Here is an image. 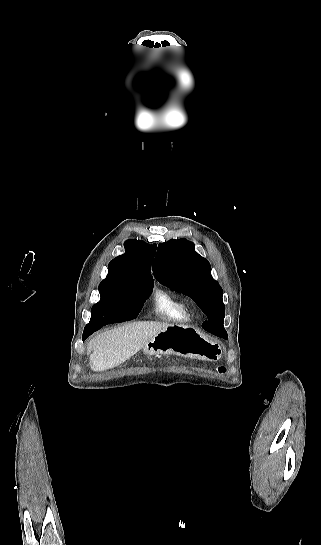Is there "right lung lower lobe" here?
<instances>
[{
    "mask_svg": "<svg viewBox=\"0 0 321 545\" xmlns=\"http://www.w3.org/2000/svg\"><path fill=\"white\" fill-rule=\"evenodd\" d=\"M144 302L138 296L124 295L107 301L96 310L94 322H89L83 332V341L93 332L111 323L131 320L137 317Z\"/></svg>",
    "mask_w": 321,
    "mask_h": 545,
    "instance_id": "98d812e1",
    "label": "right lung lower lobe"
}]
</instances>
